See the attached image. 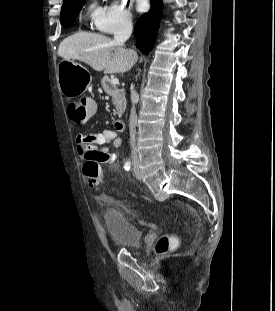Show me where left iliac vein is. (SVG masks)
I'll list each match as a JSON object with an SVG mask.
<instances>
[{
    "mask_svg": "<svg viewBox=\"0 0 275 311\" xmlns=\"http://www.w3.org/2000/svg\"><path fill=\"white\" fill-rule=\"evenodd\" d=\"M133 173H134V176L137 178V179H141L142 178V175L140 173V169H139V162H138V158L134 159L133 161Z\"/></svg>",
    "mask_w": 275,
    "mask_h": 311,
    "instance_id": "obj_1",
    "label": "left iliac vein"
}]
</instances>
